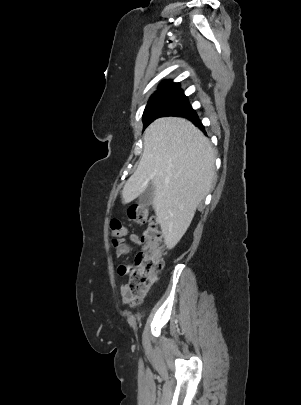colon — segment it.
I'll return each instance as SVG.
<instances>
[{
  "label": "colon",
  "mask_w": 301,
  "mask_h": 405,
  "mask_svg": "<svg viewBox=\"0 0 301 405\" xmlns=\"http://www.w3.org/2000/svg\"><path fill=\"white\" fill-rule=\"evenodd\" d=\"M128 217L130 221L136 224H145L148 221L141 237L142 248L135 256V262L129 271V281L126 285L128 300L131 305H136L148 292L162 270L165 247L158 222L154 217L149 219V212L146 207L141 205L130 207ZM110 227L112 235L115 237L113 242L127 233L125 227L118 220H113Z\"/></svg>",
  "instance_id": "5ec220e1"
}]
</instances>
